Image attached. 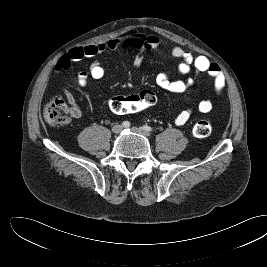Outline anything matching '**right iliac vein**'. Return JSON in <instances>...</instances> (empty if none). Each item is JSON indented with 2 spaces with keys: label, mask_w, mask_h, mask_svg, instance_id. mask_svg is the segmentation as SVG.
Returning a JSON list of instances; mask_svg holds the SVG:
<instances>
[{
  "label": "right iliac vein",
  "mask_w": 267,
  "mask_h": 267,
  "mask_svg": "<svg viewBox=\"0 0 267 267\" xmlns=\"http://www.w3.org/2000/svg\"><path fill=\"white\" fill-rule=\"evenodd\" d=\"M122 129H123L122 125L115 124L112 127V132L118 134V133H120L122 131Z\"/></svg>",
  "instance_id": "right-iliac-vein-1"
}]
</instances>
